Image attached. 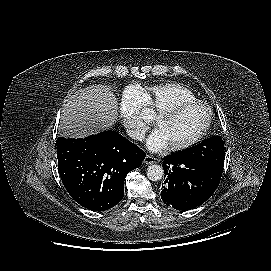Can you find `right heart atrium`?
Segmentation results:
<instances>
[{
    "mask_svg": "<svg viewBox=\"0 0 271 271\" xmlns=\"http://www.w3.org/2000/svg\"><path fill=\"white\" fill-rule=\"evenodd\" d=\"M144 106L145 96L138 87L130 86L124 91L120 106L122 123L128 135L137 141L144 138L149 128V123L142 115Z\"/></svg>",
    "mask_w": 271,
    "mask_h": 271,
    "instance_id": "1",
    "label": "right heart atrium"
}]
</instances>
